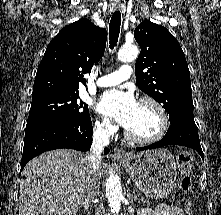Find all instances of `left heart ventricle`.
Here are the masks:
<instances>
[{"label": "left heart ventricle", "instance_id": "left-heart-ventricle-1", "mask_svg": "<svg viewBox=\"0 0 221 215\" xmlns=\"http://www.w3.org/2000/svg\"><path fill=\"white\" fill-rule=\"evenodd\" d=\"M160 126L159 116L150 104H138L131 123L126 127L132 134L139 137L154 135Z\"/></svg>", "mask_w": 221, "mask_h": 215}]
</instances>
